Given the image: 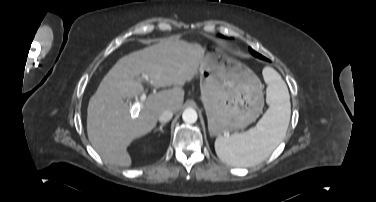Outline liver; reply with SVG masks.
<instances>
[{
	"instance_id": "liver-1",
	"label": "liver",
	"mask_w": 376,
	"mask_h": 202,
	"mask_svg": "<svg viewBox=\"0 0 376 202\" xmlns=\"http://www.w3.org/2000/svg\"><path fill=\"white\" fill-rule=\"evenodd\" d=\"M205 49L184 40L162 39L158 44L120 58L104 76L87 108V134L96 152L108 163L129 167L130 143L157 124L167 109L178 112L183 104L181 88L196 75ZM140 75L161 88L173 89L150 94L134 112L124 99L136 98L144 92Z\"/></svg>"
}]
</instances>
